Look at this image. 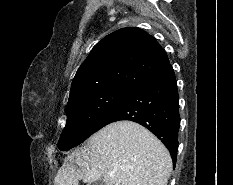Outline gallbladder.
Wrapping results in <instances>:
<instances>
[{
  "instance_id": "obj_1",
  "label": "gallbladder",
  "mask_w": 233,
  "mask_h": 185,
  "mask_svg": "<svg viewBox=\"0 0 233 185\" xmlns=\"http://www.w3.org/2000/svg\"><path fill=\"white\" fill-rule=\"evenodd\" d=\"M91 185H104L103 180H98L96 182H93Z\"/></svg>"
}]
</instances>
